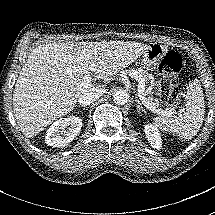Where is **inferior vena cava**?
Returning a JSON list of instances; mask_svg holds the SVG:
<instances>
[{"mask_svg":"<svg viewBox=\"0 0 215 215\" xmlns=\"http://www.w3.org/2000/svg\"><path fill=\"white\" fill-rule=\"evenodd\" d=\"M104 93H105L104 89H99V90L92 92V93H84L78 98V103L81 106H88L92 102H94L95 100H97L98 98L103 96Z\"/></svg>","mask_w":215,"mask_h":215,"instance_id":"602c4592","label":"inferior vena cava"}]
</instances>
